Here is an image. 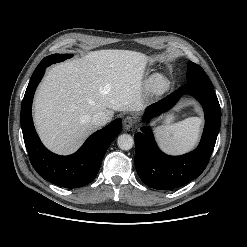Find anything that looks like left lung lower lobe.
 <instances>
[{"instance_id":"obj_1","label":"left lung lower lobe","mask_w":247,"mask_h":247,"mask_svg":"<svg viewBox=\"0 0 247 247\" xmlns=\"http://www.w3.org/2000/svg\"><path fill=\"white\" fill-rule=\"evenodd\" d=\"M184 94H191L202 104L205 128L198 147L181 156H169L159 150L151 128L136 133L135 167L140 179L149 187L172 190L197 178L206 168L221 125V108L212 84L189 81L175 92L147 108L145 120L170 109Z\"/></svg>"}]
</instances>
